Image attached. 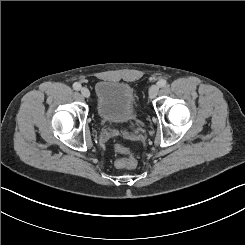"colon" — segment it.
<instances>
[{
	"label": "colon",
	"instance_id": "1",
	"mask_svg": "<svg viewBox=\"0 0 245 245\" xmlns=\"http://www.w3.org/2000/svg\"><path fill=\"white\" fill-rule=\"evenodd\" d=\"M114 149L117 153L129 154V150L120 143H116L114 145ZM117 166L126 169L134 168L136 166V159L132 155H129L125 158L117 160Z\"/></svg>",
	"mask_w": 245,
	"mask_h": 245
}]
</instances>
